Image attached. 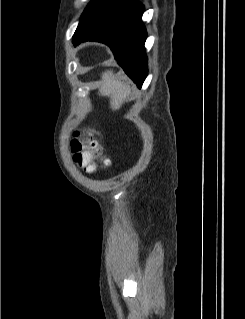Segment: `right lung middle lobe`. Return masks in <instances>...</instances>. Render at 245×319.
Listing matches in <instances>:
<instances>
[{
    "label": "right lung middle lobe",
    "instance_id": "1",
    "mask_svg": "<svg viewBox=\"0 0 245 319\" xmlns=\"http://www.w3.org/2000/svg\"><path fill=\"white\" fill-rule=\"evenodd\" d=\"M129 2L130 0H93L82 14L84 17L82 27L88 28L95 25Z\"/></svg>",
    "mask_w": 245,
    "mask_h": 319
}]
</instances>
